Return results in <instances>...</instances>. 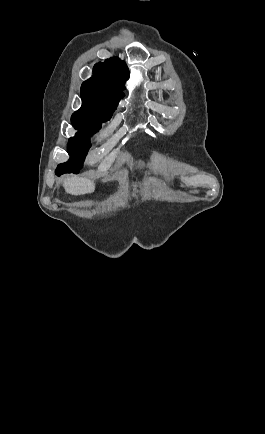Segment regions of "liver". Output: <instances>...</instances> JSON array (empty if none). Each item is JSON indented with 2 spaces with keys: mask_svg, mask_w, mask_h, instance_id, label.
Returning <instances> with one entry per match:
<instances>
[{
  "mask_svg": "<svg viewBox=\"0 0 265 434\" xmlns=\"http://www.w3.org/2000/svg\"><path fill=\"white\" fill-rule=\"evenodd\" d=\"M63 188L67 194L81 196V194H92L95 184L88 178H78V176H68L63 182Z\"/></svg>",
  "mask_w": 265,
  "mask_h": 434,
  "instance_id": "6515ba94",
  "label": "liver"
}]
</instances>
